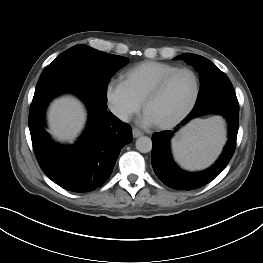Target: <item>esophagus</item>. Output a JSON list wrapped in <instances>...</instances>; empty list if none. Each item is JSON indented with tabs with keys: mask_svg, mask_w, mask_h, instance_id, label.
<instances>
[{
	"mask_svg": "<svg viewBox=\"0 0 263 263\" xmlns=\"http://www.w3.org/2000/svg\"><path fill=\"white\" fill-rule=\"evenodd\" d=\"M132 134H133V137H134V138H137V137H140V136L143 135V133H142L139 129H137V128H133Z\"/></svg>",
	"mask_w": 263,
	"mask_h": 263,
	"instance_id": "esophagus-1",
	"label": "esophagus"
}]
</instances>
